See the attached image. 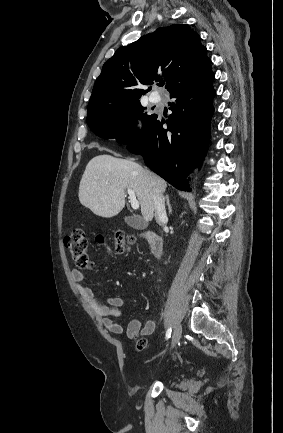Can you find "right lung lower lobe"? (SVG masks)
<instances>
[{"label": "right lung lower lobe", "instance_id": "98d812e1", "mask_svg": "<svg viewBox=\"0 0 283 433\" xmlns=\"http://www.w3.org/2000/svg\"><path fill=\"white\" fill-rule=\"evenodd\" d=\"M215 75L188 87L170 92L176 99L172 114L164 121L156 115L145 134L128 150L141 154L147 166L174 187L188 191L185 176L193 166H200L206 156L210 138V121L214 112ZM168 129L163 128V124Z\"/></svg>", "mask_w": 283, "mask_h": 433}]
</instances>
